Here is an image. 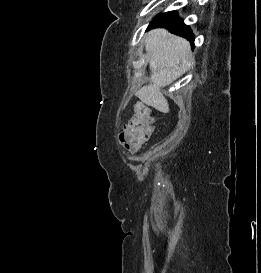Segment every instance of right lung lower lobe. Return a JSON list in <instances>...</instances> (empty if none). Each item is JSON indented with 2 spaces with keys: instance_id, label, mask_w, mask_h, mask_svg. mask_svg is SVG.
Returning a JSON list of instances; mask_svg holds the SVG:
<instances>
[{
  "instance_id": "1",
  "label": "right lung lower lobe",
  "mask_w": 261,
  "mask_h": 273,
  "mask_svg": "<svg viewBox=\"0 0 261 273\" xmlns=\"http://www.w3.org/2000/svg\"><path fill=\"white\" fill-rule=\"evenodd\" d=\"M154 27H165L169 29L170 32L190 40L191 43L194 42V35L189 26L185 25L183 20L177 17L175 11L167 12L156 17L149 25V28Z\"/></svg>"
}]
</instances>
